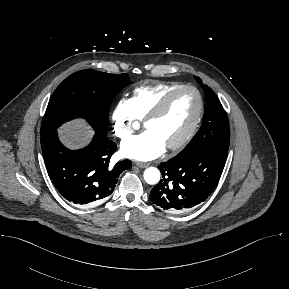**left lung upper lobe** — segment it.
Returning <instances> with one entry per match:
<instances>
[{
  "instance_id": "obj_1",
  "label": "left lung upper lobe",
  "mask_w": 289,
  "mask_h": 289,
  "mask_svg": "<svg viewBox=\"0 0 289 289\" xmlns=\"http://www.w3.org/2000/svg\"><path fill=\"white\" fill-rule=\"evenodd\" d=\"M195 78L205 91V114L201 128L188 145L175 156L177 158L208 147L229 148L230 128L227 114L213 90L203 84L199 77Z\"/></svg>"
}]
</instances>
